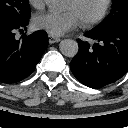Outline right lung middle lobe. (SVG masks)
<instances>
[{
  "label": "right lung middle lobe",
  "mask_w": 128,
  "mask_h": 128,
  "mask_svg": "<svg viewBox=\"0 0 128 128\" xmlns=\"http://www.w3.org/2000/svg\"><path fill=\"white\" fill-rule=\"evenodd\" d=\"M29 18L28 0H0V24L20 25Z\"/></svg>",
  "instance_id": "1"
}]
</instances>
